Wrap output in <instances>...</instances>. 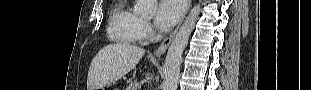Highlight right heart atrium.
I'll return each instance as SVG.
<instances>
[{
    "mask_svg": "<svg viewBox=\"0 0 311 90\" xmlns=\"http://www.w3.org/2000/svg\"><path fill=\"white\" fill-rule=\"evenodd\" d=\"M138 30L141 38L147 37L151 33L150 23L147 20L140 18L138 23Z\"/></svg>",
    "mask_w": 311,
    "mask_h": 90,
    "instance_id": "right-heart-atrium-1",
    "label": "right heart atrium"
}]
</instances>
